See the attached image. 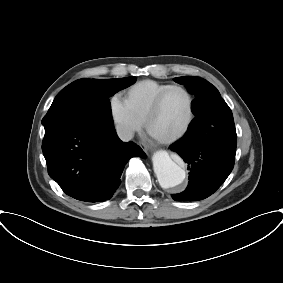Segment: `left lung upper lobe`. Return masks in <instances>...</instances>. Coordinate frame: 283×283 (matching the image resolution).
I'll return each instance as SVG.
<instances>
[{
  "label": "left lung upper lobe",
  "instance_id": "left-lung-upper-lobe-1",
  "mask_svg": "<svg viewBox=\"0 0 283 283\" xmlns=\"http://www.w3.org/2000/svg\"><path fill=\"white\" fill-rule=\"evenodd\" d=\"M174 81L181 85H185L188 90L196 96L191 103V109L195 117L201 110L209 112L211 110L209 107H213L211 104L213 99H222L217 88L200 77L183 76L174 78ZM213 108L216 109V107ZM217 118L221 120V123L210 124V127L213 130V132L208 133L210 141L236 145L237 135L233 115L227 104L223 113L219 114Z\"/></svg>",
  "mask_w": 283,
  "mask_h": 283
}]
</instances>
